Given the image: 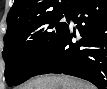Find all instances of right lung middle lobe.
<instances>
[{
  "label": "right lung middle lobe",
  "mask_w": 107,
  "mask_h": 89,
  "mask_svg": "<svg viewBox=\"0 0 107 89\" xmlns=\"http://www.w3.org/2000/svg\"><path fill=\"white\" fill-rule=\"evenodd\" d=\"M63 13L69 22V12L34 18L8 26L2 52L9 86L19 85L33 77L38 67L54 49L65 30Z\"/></svg>",
  "instance_id": "dd1d6c3e"
}]
</instances>
